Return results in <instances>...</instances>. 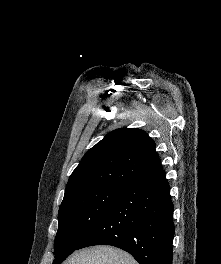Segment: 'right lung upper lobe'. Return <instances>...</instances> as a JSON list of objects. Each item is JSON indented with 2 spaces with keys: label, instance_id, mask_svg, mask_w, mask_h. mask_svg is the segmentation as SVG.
<instances>
[{
  "label": "right lung upper lobe",
  "instance_id": "right-lung-upper-lobe-1",
  "mask_svg": "<svg viewBox=\"0 0 221 264\" xmlns=\"http://www.w3.org/2000/svg\"><path fill=\"white\" fill-rule=\"evenodd\" d=\"M161 168L155 142L145 131L118 129L84 155L68 180L64 198L97 185H127Z\"/></svg>",
  "mask_w": 221,
  "mask_h": 264
}]
</instances>
